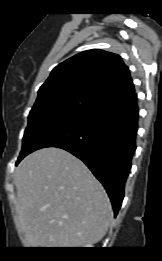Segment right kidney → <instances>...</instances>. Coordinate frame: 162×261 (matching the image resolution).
I'll return each instance as SVG.
<instances>
[{
  "instance_id": "obj_1",
  "label": "right kidney",
  "mask_w": 162,
  "mask_h": 261,
  "mask_svg": "<svg viewBox=\"0 0 162 261\" xmlns=\"http://www.w3.org/2000/svg\"><path fill=\"white\" fill-rule=\"evenodd\" d=\"M86 247H92V245H87Z\"/></svg>"
}]
</instances>
